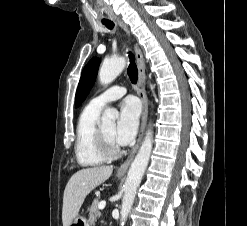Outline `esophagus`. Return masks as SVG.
I'll return each mask as SVG.
<instances>
[{
    "label": "esophagus",
    "instance_id": "34e87169",
    "mask_svg": "<svg viewBox=\"0 0 247 226\" xmlns=\"http://www.w3.org/2000/svg\"><path fill=\"white\" fill-rule=\"evenodd\" d=\"M118 24L125 30V32L130 35V31L126 24H124L122 21L118 20ZM135 53H136V60H137V66H138V95L142 102V116H141V126L139 131V136L136 142V145L132 149L130 155L128 158L121 164V166L118 168L117 173L118 174H124L126 173L128 167L130 166L133 157L135 153L137 152L139 145L141 143V140L143 138L145 128H146V122H147V116H148V99L145 92V61L143 57V53L138 46V44H135Z\"/></svg>",
    "mask_w": 247,
    "mask_h": 226
}]
</instances>
